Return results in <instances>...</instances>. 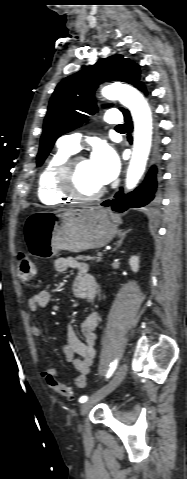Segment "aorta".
Returning <instances> with one entry per match:
<instances>
[{
    "label": "aorta",
    "instance_id": "aorta-1",
    "mask_svg": "<svg viewBox=\"0 0 187 479\" xmlns=\"http://www.w3.org/2000/svg\"><path fill=\"white\" fill-rule=\"evenodd\" d=\"M102 95L110 100H119L132 114L134 120V144L127 171L126 187H136L143 175L151 147L152 116L148 103L142 94L127 85H109L102 89Z\"/></svg>",
    "mask_w": 187,
    "mask_h": 479
}]
</instances>
